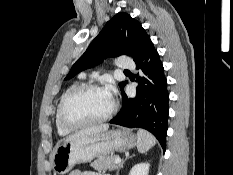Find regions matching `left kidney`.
<instances>
[{"mask_svg": "<svg viewBox=\"0 0 233 175\" xmlns=\"http://www.w3.org/2000/svg\"><path fill=\"white\" fill-rule=\"evenodd\" d=\"M149 163H139L132 167L129 175H148L149 173Z\"/></svg>", "mask_w": 233, "mask_h": 175, "instance_id": "1", "label": "left kidney"}]
</instances>
